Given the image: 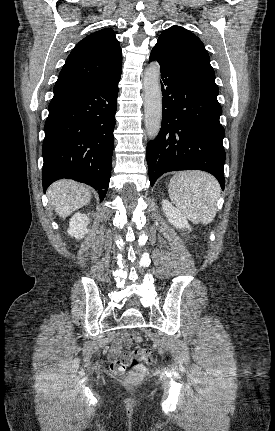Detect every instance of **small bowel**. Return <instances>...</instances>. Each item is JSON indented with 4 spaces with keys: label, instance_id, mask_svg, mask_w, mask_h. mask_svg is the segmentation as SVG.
I'll return each instance as SVG.
<instances>
[{
    "label": "small bowel",
    "instance_id": "1",
    "mask_svg": "<svg viewBox=\"0 0 275 431\" xmlns=\"http://www.w3.org/2000/svg\"><path fill=\"white\" fill-rule=\"evenodd\" d=\"M121 347H122V340L118 338L114 340L112 347L109 351V358L111 361V365L113 368L119 371H122L127 365V363L129 362L128 354H124L121 356V358H119L121 353Z\"/></svg>",
    "mask_w": 275,
    "mask_h": 431
}]
</instances>
